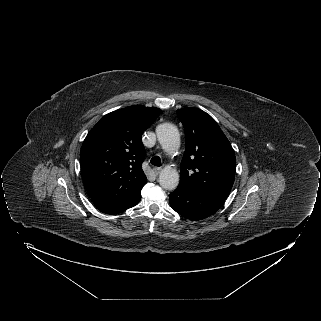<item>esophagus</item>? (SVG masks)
I'll return each mask as SVG.
<instances>
[{
  "label": "esophagus",
  "mask_w": 321,
  "mask_h": 321,
  "mask_svg": "<svg viewBox=\"0 0 321 321\" xmlns=\"http://www.w3.org/2000/svg\"><path fill=\"white\" fill-rule=\"evenodd\" d=\"M161 170H162L161 167H154L153 168V172H154L155 175H159Z\"/></svg>",
  "instance_id": "1"
}]
</instances>
